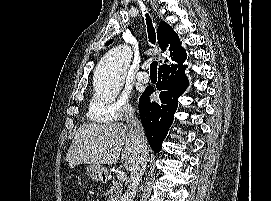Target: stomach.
I'll list each match as a JSON object with an SVG mask.
<instances>
[{"instance_id": "obj_1", "label": "stomach", "mask_w": 271, "mask_h": 201, "mask_svg": "<svg viewBox=\"0 0 271 201\" xmlns=\"http://www.w3.org/2000/svg\"><path fill=\"white\" fill-rule=\"evenodd\" d=\"M85 172L94 181H102L107 173L106 169L100 165H89L85 168Z\"/></svg>"}]
</instances>
